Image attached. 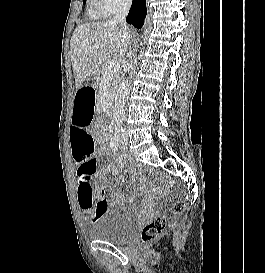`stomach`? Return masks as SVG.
I'll use <instances>...</instances> for the list:
<instances>
[{
    "label": "stomach",
    "mask_w": 265,
    "mask_h": 273,
    "mask_svg": "<svg viewBox=\"0 0 265 273\" xmlns=\"http://www.w3.org/2000/svg\"><path fill=\"white\" fill-rule=\"evenodd\" d=\"M78 90H95V85L92 82L87 83V85H78Z\"/></svg>",
    "instance_id": "0dacf381"
}]
</instances>
